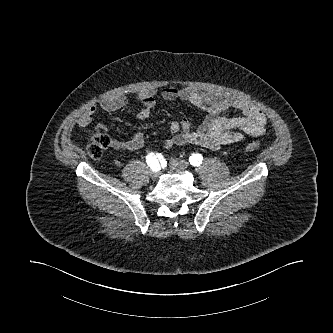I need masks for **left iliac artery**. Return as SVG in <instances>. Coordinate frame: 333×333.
<instances>
[{
    "label": "left iliac artery",
    "mask_w": 333,
    "mask_h": 333,
    "mask_svg": "<svg viewBox=\"0 0 333 333\" xmlns=\"http://www.w3.org/2000/svg\"><path fill=\"white\" fill-rule=\"evenodd\" d=\"M203 157L201 154H192L189 157V162L190 164H192L193 166H200V164L202 163Z\"/></svg>",
    "instance_id": "left-iliac-artery-1"
}]
</instances>
